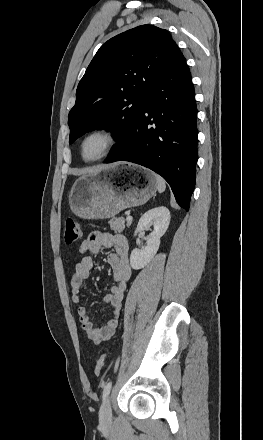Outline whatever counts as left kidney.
I'll return each mask as SVG.
<instances>
[{"label": "left kidney", "mask_w": 263, "mask_h": 440, "mask_svg": "<svg viewBox=\"0 0 263 440\" xmlns=\"http://www.w3.org/2000/svg\"><path fill=\"white\" fill-rule=\"evenodd\" d=\"M170 212L164 206L150 209L140 218L134 236L138 232L153 226V231L147 237V245L142 249H133L130 255V265L132 269L139 270L144 268L155 256L159 249L160 238L165 234L170 223Z\"/></svg>", "instance_id": "left-kidney-1"}]
</instances>
